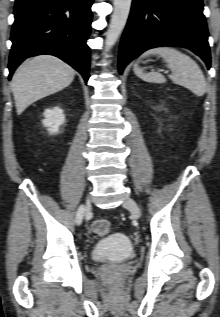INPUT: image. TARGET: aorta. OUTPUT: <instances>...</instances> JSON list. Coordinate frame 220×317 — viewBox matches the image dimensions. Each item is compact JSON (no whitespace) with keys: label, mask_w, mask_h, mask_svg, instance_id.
I'll list each match as a JSON object with an SVG mask.
<instances>
[{"label":"aorta","mask_w":220,"mask_h":317,"mask_svg":"<svg viewBox=\"0 0 220 317\" xmlns=\"http://www.w3.org/2000/svg\"><path fill=\"white\" fill-rule=\"evenodd\" d=\"M132 0H113L114 11L111 16L110 25L106 33L104 56H108L109 50L120 37L131 8Z\"/></svg>","instance_id":"762f6f07"}]
</instances>
